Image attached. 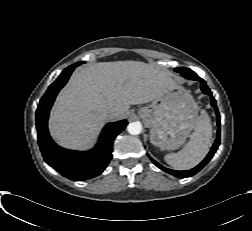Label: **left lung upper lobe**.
Instances as JSON below:
<instances>
[{
  "label": "left lung upper lobe",
  "instance_id": "left-lung-upper-lobe-1",
  "mask_svg": "<svg viewBox=\"0 0 252 231\" xmlns=\"http://www.w3.org/2000/svg\"><path fill=\"white\" fill-rule=\"evenodd\" d=\"M175 71H176V72H179L180 74H183V73H185V72H189L190 69L184 68V67H178V68H175Z\"/></svg>",
  "mask_w": 252,
  "mask_h": 231
}]
</instances>
